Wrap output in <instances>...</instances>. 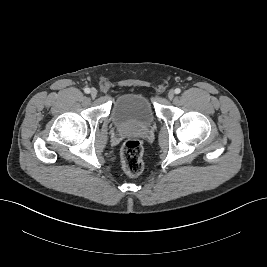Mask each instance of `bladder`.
I'll list each match as a JSON object with an SVG mask.
<instances>
[{"mask_svg": "<svg viewBox=\"0 0 267 267\" xmlns=\"http://www.w3.org/2000/svg\"><path fill=\"white\" fill-rule=\"evenodd\" d=\"M110 117L119 126L146 127L155 120V110L146 94L125 92L115 98Z\"/></svg>", "mask_w": 267, "mask_h": 267, "instance_id": "obj_1", "label": "bladder"}]
</instances>
